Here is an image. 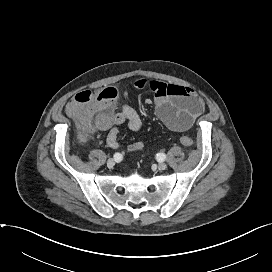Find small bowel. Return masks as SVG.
<instances>
[{
    "label": "small bowel",
    "mask_w": 272,
    "mask_h": 272,
    "mask_svg": "<svg viewBox=\"0 0 272 272\" xmlns=\"http://www.w3.org/2000/svg\"><path fill=\"white\" fill-rule=\"evenodd\" d=\"M134 86L154 94L155 114L172 131L189 130L205 111L204 101L189 87L146 79L137 80ZM122 124H126L131 131H138L142 120L132 107L125 104L120 112L103 117L97 126L100 130H109L107 144L112 149L119 146L118 126ZM142 147V142L137 141L129 145V150L134 152Z\"/></svg>",
    "instance_id": "small-bowel-1"
}]
</instances>
